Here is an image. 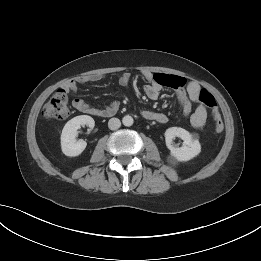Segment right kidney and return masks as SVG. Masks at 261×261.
<instances>
[{
    "instance_id": "ca27d5eb",
    "label": "right kidney",
    "mask_w": 261,
    "mask_h": 261,
    "mask_svg": "<svg viewBox=\"0 0 261 261\" xmlns=\"http://www.w3.org/2000/svg\"><path fill=\"white\" fill-rule=\"evenodd\" d=\"M84 125L93 128L95 126V121L91 116L80 115L74 117L65 124L61 134V148L66 156H78L86 148L87 143L85 141H76L78 134L77 130Z\"/></svg>"
}]
</instances>
